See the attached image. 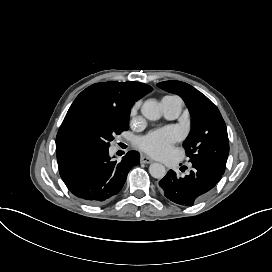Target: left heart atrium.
Returning <instances> with one entry per match:
<instances>
[{
    "instance_id": "left-heart-atrium-1",
    "label": "left heart atrium",
    "mask_w": 272,
    "mask_h": 272,
    "mask_svg": "<svg viewBox=\"0 0 272 272\" xmlns=\"http://www.w3.org/2000/svg\"><path fill=\"white\" fill-rule=\"evenodd\" d=\"M174 137L168 128L160 129L138 143V146L155 157L165 156L172 148Z\"/></svg>"
}]
</instances>
